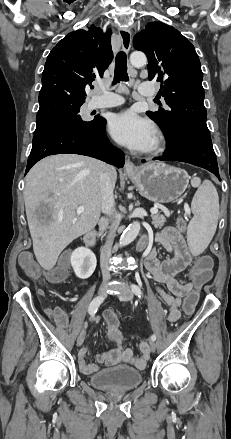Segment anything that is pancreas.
Segmentation results:
<instances>
[{
  "mask_svg": "<svg viewBox=\"0 0 231 439\" xmlns=\"http://www.w3.org/2000/svg\"><path fill=\"white\" fill-rule=\"evenodd\" d=\"M166 222V217L162 214H154L152 215V224L155 228H161L164 226Z\"/></svg>",
  "mask_w": 231,
  "mask_h": 439,
  "instance_id": "obj_1",
  "label": "pancreas"
}]
</instances>
